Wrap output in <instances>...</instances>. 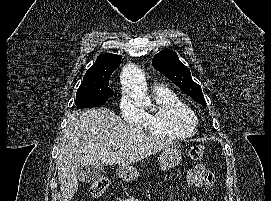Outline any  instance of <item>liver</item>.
Segmentation results:
<instances>
[{
  "label": "liver",
  "mask_w": 271,
  "mask_h": 201,
  "mask_svg": "<svg viewBox=\"0 0 271 201\" xmlns=\"http://www.w3.org/2000/svg\"><path fill=\"white\" fill-rule=\"evenodd\" d=\"M120 144L117 148L115 145ZM172 145L127 124L108 108L75 111L69 115L59 142L58 180L63 201H70L79 187V165H129Z\"/></svg>",
  "instance_id": "6515ba94"
}]
</instances>
